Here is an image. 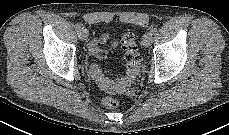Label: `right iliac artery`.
Masks as SVG:
<instances>
[{
	"label": "right iliac artery",
	"instance_id": "right-iliac-artery-1",
	"mask_svg": "<svg viewBox=\"0 0 229 135\" xmlns=\"http://www.w3.org/2000/svg\"><path fill=\"white\" fill-rule=\"evenodd\" d=\"M75 29H76L77 31H79V30H81V29H83V28H82V25H81V24L77 23V24L75 25Z\"/></svg>",
	"mask_w": 229,
	"mask_h": 135
}]
</instances>
